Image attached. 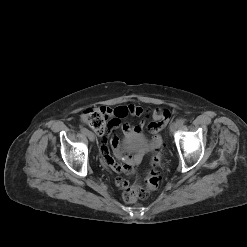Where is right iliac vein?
Instances as JSON below:
<instances>
[{
	"instance_id": "right-iliac-vein-1",
	"label": "right iliac vein",
	"mask_w": 247,
	"mask_h": 247,
	"mask_svg": "<svg viewBox=\"0 0 247 247\" xmlns=\"http://www.w3.org/2000/svg\"><path fill=\"white\" fill-rule=\"evenodd\" d=\"M87 137H88V139H89L90 141H92V142L95 140V135H94V133L91 132V131H88Z\"/></svg>"
}]
</instances>
